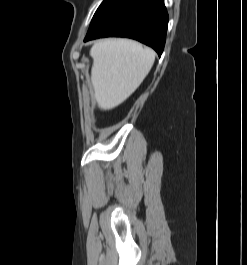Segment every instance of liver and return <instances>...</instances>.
Here are the masks:
<instances>
[{
  "mask_svg": "<svg viewBox=\"0 0 247 265\" xmlns=\"http://www.w3.org/2000/svg\"><path fill=\"white\" fill-rule=\"evenodd\" d=\"M90 56L94 98L103 110L123 103L140 86L155 61L151 48L129 39L97 41Z\"/></svg>",
  "mask_w": 247,
  "mask_h": 265,
  "instance_id": "1",
  "label": "liver"
}]
</instances>
